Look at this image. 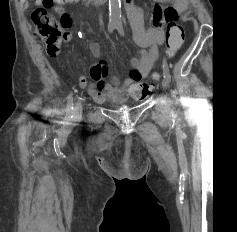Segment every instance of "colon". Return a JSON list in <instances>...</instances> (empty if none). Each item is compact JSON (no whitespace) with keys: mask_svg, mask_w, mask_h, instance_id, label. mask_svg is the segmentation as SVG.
Masks as SVG:
<instances>
[{"mask_svg":"<svg viewBox=\"0 0 237 232\" xmlns=\"http://www.w3.org/2000/svg\"><path fill=\"white\" fill-rule=\"evenodd\" d=\"M66 0H40L41 7L36 8L31 15L34 31L44 41L46 51L50 56L59 53L61 44L69 38L68 29L71 27V18L65 12L58 21L46 9L55 4H65ZM184 40L183 28L176 22L169 23L166 32V53L173 57L181 48ZM157 75L154 78L157 79ZM149 87V86H148Z\"/></svg>","mask_w":237,"mask_h":232,"instance_id":"obj_1","label":"colon"}]
</instances>
